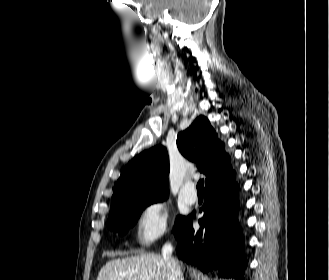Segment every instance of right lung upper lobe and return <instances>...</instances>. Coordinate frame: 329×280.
Masks as SVG:
<instances>
[{"instance_id":"obj_1","label":"right lung upper lobe","mask_w":329,"mask_h":280,"mask_svg":"<svg viewBox=\"0 0 329 280\" xmlns=\"http://www.w3.org/2000/svg\"><path fill=\"white\" fill-rule=\"evenodd\" d=\"M177 146L180 153L196 162L199 171L206 175L205 184L231 166L224 144L204 116L196 118L189 128L178 134ZM168 174L169 157L165 147L158 145L137 155L116 183L110 213L129 201L168 196Z\"/></svg>"}]
</instances>
